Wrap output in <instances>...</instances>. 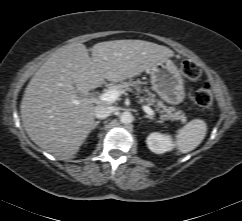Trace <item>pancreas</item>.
Returning a JSON list of instances; mask_svg holds the SVG:
<instances>
[{"label":"pancreas","instance_id":"obj_1","mask_svg":"<svg viewBox=\"0 0 242 221\" xmlns=\"http://www.w3.org/2000/svg\"><path fill=\"white\" fill-rule=\"evenodd\" d=\"M141 82L140 80L137 81H128V82H121L120 84H110L108 86L109 90L116 89L121 94H127V92H135L136 95H139L142 92H145L146 94L143 97H140L139 101L144 102L147 106H153L159 113H164L162 117L164 119H169L171 121H186V116L182 111H176L174 107H167L163 104L162 101L158 100L152 92H150L147 88L142 89L141 88Z\"/></svg>","mask_w":242,"mask_h":221}]
</instances>
